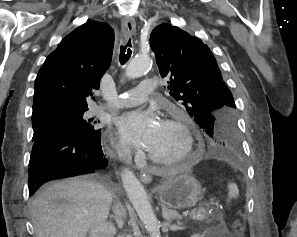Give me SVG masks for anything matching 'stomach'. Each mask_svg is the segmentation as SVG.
Here are the masks:
<instances>
[{
	"mask_svg": "<svg viewBox=\"0 0 297 237\" xmlns=\"http://www.w3.org/2000/svg\"><path fill=\"white\" fill-rule=\"evenodd\" d=\"M158 195L162 205L183 209L194 207L203 198V190L200 182L191 172L186 171L173 180L164 182Z\"/></svg>",
	"mask_w": 297,
	"mask_h": 237,
	"instance_id": "1",
	"label": "stomach"
}]
</instances>
